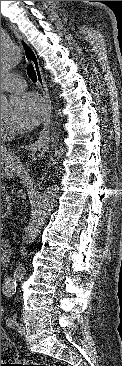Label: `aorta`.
I'll return each instance as SVG.
<instances>
[{"mask_svg": "<svg viewBox=\"0 0 122 366\" xmlns=\"http://www.w3.org/2000/svg\"><path fill=\"white\" fill-rule=\"evenodd\" d=\"M23 61L20 48L10 42L1 43V75L7 74ZM9 99L1 92V114L8 110ZM60 187L57 183H52L44 188L34 209L31 212V218L25 230V239L27 244L33 243L41 233L51 211L54 208L55 200L58 197Z\"/></svg>", "mask_w": 122, "mask_h": 366, "instance_id": "obj_1", "label": "aorta"}]
</instances>
